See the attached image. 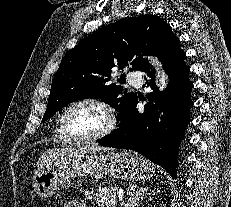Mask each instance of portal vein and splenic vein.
Segmentation results:
<instances>
[{
	"mask_svg": "<svg viewBox=\"0 0 231 207\" xmlns=\"http://www.w3.org/2000/svg\"><path fill=\"white\" fill-rule=\"evenodd\" d=\"M119 199L122 200V195H119ZM111 205L115 206V203H111Z\"/></svg>",
	"mask_w": 231,
	"mask_h": 207,
	"instance_id": "portal-vein-and-splenic-vein-1",
	"label": "portal vein and splenic vein"
}]
</instances>
